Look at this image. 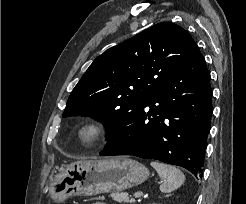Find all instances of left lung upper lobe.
I'll return each instance as SVG.
<instances>
[{
	"instance_id": "5c2ea615",
	"label": "left lung upper lobe",
	"mask_w": 246,
	"mask_h": 204,
	"mask_svg": "<svg viewBox=\"0 0 246 204\" xmlns=\"http://www.w3.org/2000/svg\"><path fill=\"white\" fill-rule=\"evenodd\" d=\"M196 43L162 22L98 56L75 86L63 117L91 116L117 134L142 103L191 57Z\"/></svg>"
}]
</instances>
